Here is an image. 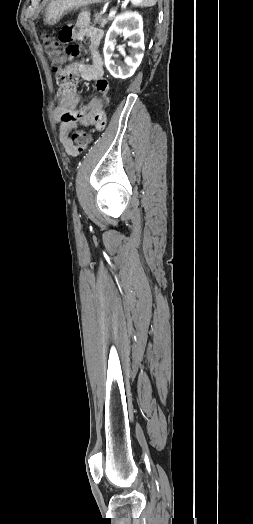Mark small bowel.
Wrapping results in <instances>:
<instances>
[{
    "label": "small bowel",
    "instance_id": "1",
    "mask_svg": "<svg viewBox=\"0 0 253 524\" xmlns=\"http://www.w3.org/2000/svg\"><path fill=\"white\" fill-rule=\"evenodd\" d=\"M87 37L89 40V51L91 62L86 64L82 61L64 66L57 71V83L59 91L57 94V108L55 117L59 123L58 135L67 153L72 154V143L69 134L76 127L93 126L96 130H102L107 123L103 112V105L114 102L111 94L110 81L104 77L103 59L100 53V45L103 31L91 25L90 17L83 14L73 24H62L58 31L60 44L65 45V56L72 60L74 57L82 56L83 51L79 48L78 39ZM79 79L94 81L98 96H91L81 100L77 93V82Z\"/></svg>",
    "mask_w": 253,
    "mask_h": 524
}]
</instances>
